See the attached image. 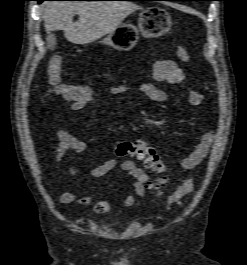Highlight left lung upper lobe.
<instances>
[{
  "label": "left lung upper lobe",
  "mask_w": 247,
  "mask_h": 265,
  "mask_svg": "<svg viewBox=\"0 0 247 265\" xmlns=\"http://www.w3.org/2000/svg\"><path fill=\"white\" fill-rule=\"evenodd\" d=\"M200 1H210V0H200Z\"/></svg>",
  "instance_id": "5c2ea615"
}]
</instances>
